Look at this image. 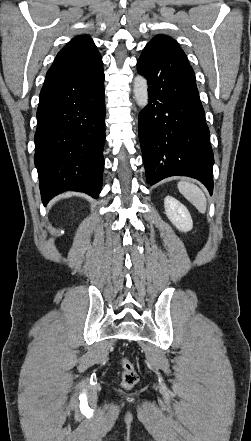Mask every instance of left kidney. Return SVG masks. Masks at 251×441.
<instances>
[{"label":"left kidney","instance_id":"obj_1","mask_svg":"<svg viewBox=\"0 0 251 441\" xmlns=\"http://www.w3.org/2000/svg\"><path fill=\"white\" fill-rule=\"evenodd\" d=\"M165 213L170 222L181 232H188L193 228V221L188 209L172 196L164 199Z\"/></svg>","mask_w":251,"mask_h":441}]
</instances>
